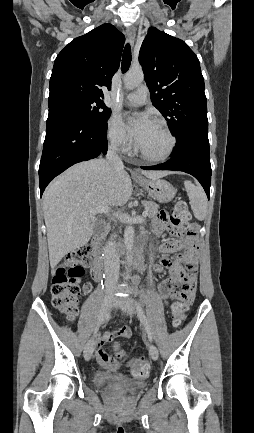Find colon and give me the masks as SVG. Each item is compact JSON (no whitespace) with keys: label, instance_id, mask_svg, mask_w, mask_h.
Listing matches in <instances>:
<instances>
[{"label":"colon","instance_id":"1","mask_svg":"<svg viewBox=\"0 0 254 433\" xmlns=\"http://www.w3.org/2000/svg\"><path fill=\"white\" fill-rule=\"evenodd\" d=\"M159 219L184 234L194 236L197 233V223L192 221V215L185 202H177L170 211L161 212ZM90 261L89 247H81L69 252L56 268L51 293L54 307L63 314L67 320H73L78 312L79 298L83 290L89 287L83 283L84 267ZM191 300L178 301L173 304L171 316L173 325L179 327L186 318L188 304ZM125 334V330H120ZM132 374L136 378H144L150 370L149 362L138 358L131 362Z\"/></svg>","mask_w":254,"mask_h":433}]
</instances>
